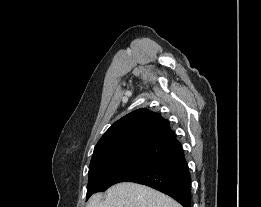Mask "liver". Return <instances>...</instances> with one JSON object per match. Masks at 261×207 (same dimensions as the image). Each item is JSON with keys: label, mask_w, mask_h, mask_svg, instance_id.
<instances>
[{"label": "liver", "mask_w": 261, "mask_h": 207, "mask_svg": "<svg viewBox=\"0 0 261 207\" xmlns=\"http://www.w3.org/2000/svg\"><path fill=\"white\" fill-rule=\"evenodd\" d=\"M101 198V193L94 194L86 207H182L169 196L133 182L118 183Z\"/></svg>", "instance_id": "1"}]
</instances>
